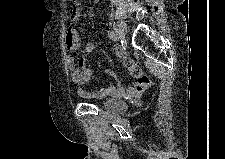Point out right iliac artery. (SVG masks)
<instances>
[{
    "label": "right iliac artery",
    "instance_id": "82829eb1",
    "mask_svg": "<svg viewBox=\"0 0 225 159\" xmlns=\"http://www.w3.org/2000/svg\"><path fill=\"white\" fill-rule=\"evenodd\" d=\"M108 37L113 41H118L119 39L118 33L114 31L108 32Z\"/></svg>",
    "mask_w": 225,
    "mask_h": 159
}]
</instances>
